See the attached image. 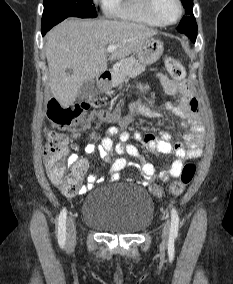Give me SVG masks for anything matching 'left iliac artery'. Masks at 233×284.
Wrapping results in <instances>:
<instances>
[{"mask_svg": "<svg viewBox=\"0 0 233 284\" xmlns=\"http://www.w3.org/2000/svg\"><path fill=\"white\" fill-rule=\"evenodd\" d=\"M179 229V216L175 208L171 210V228H170V236L171 238H176L178 235Z\"/></svg>", "mask_w": 233, "mask_h": 284, "instance_id": "1", "label": "left iliac artery"}]
</instances>
